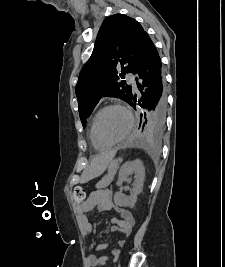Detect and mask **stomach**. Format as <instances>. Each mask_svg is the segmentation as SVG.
Listing matches in <instances>:
<instances>
[{
    "mask_svg": "<svg viewBox=\"0 0 225 267\" xmlns=\"http://www.w3.org/2000/svg\"><path fill=\"white\" fill-rule=\"evenodd\" d=\"M113 154L102 153L97 156L91 163L89 178L101 175L107 166L112 162Z\"/></svg>",
    "mask_w": 225,
    "mask_h": 267,
    "instance_id": "stomach-1",
    "label": "stomach"
}]
</instances>
